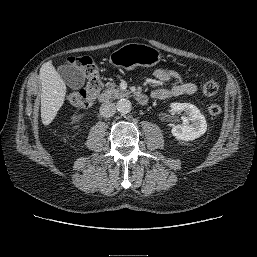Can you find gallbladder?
Here are the masks:
<instances>
[{
  "instance_id": "bac80fb5",
  "label": "gallbladder",
  "mask_w": 257,
  "mask_h": 257,
  "mask_svg": "<svg viewBox=\"0 0 257 257\" xmlns=\"http://www.w3.org/2000/svg\"><path fill=\"white\" fill-rule=\"evenodd\" d=\"M58 73L63 81L72 89H79L85 83L81 69L73 64H63L58 67Z\"/></svg>"
}]
</instances>
